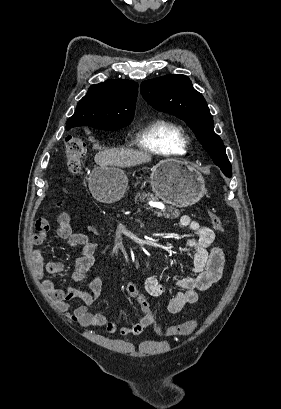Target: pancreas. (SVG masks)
I'll use <instances>...</instances> for the list:
<instances>
[{
    "label": "pancreas",
    "instance_id": "pancreas-1",
    "mask_svg": "<svg viewBox=\"0 0 281 409\" xmlns=\"http://www.w3.org/2000/svg\"><path fill=\"white\" fill-rule=\"evenodd\" d=\"M136 198H139V200H144V198H147V200H157L158 202V198H155L152 192H144V190L143 192H136ZM167 211H169V213H166V209L160 211L165 219H169V217H171V219H177V217L180 215V211H178V209H173V207H167Z\"/></svg>",
    "mask_w": 281,
    "mask_h": 409
}]
</instances>
